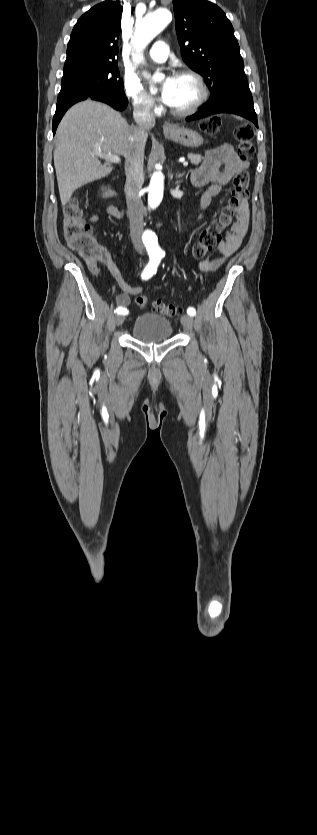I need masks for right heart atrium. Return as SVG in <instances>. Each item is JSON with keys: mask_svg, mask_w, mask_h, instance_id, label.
<instances>
[{"mask_svg": "<svg viewBox=\"0 0 317 835\" xmlns=\"http://www.w3.org/2000/svg\"><path fill=\"white\" fill-rule=\"evenodd\" d=\"M123 90L136 112L143 115H152L158 111V106L154 98L143 89L138 79L134 76H124Z\"/></svg>", "mask_w": 317, "mask_h": 835, "instance_id": "1", "label": "right heart atrium"}]
</instances>
